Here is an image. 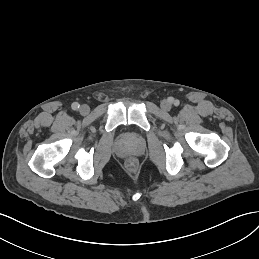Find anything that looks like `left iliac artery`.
Instances as JSON below:
<instances>
[{
	"label": "left iliac artery",
	"instance_id": "1",
	"mask_svg": "<svg viewBox=\"0 0 259 259\" xmlns=\"http://www.w3.org/2000/svg\"><path fill=\"white\" fill-rule=\"evenodd\" d=\"M174 104H175L176 106H178V105H179V101L176 100Z\"/></svg>",
	"mask_w": 259,
	"mask_h": 259
}]
</instances>
